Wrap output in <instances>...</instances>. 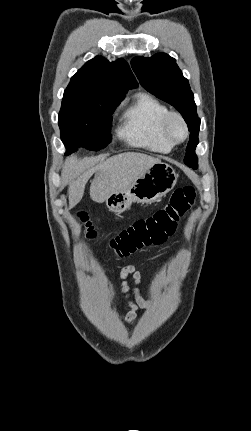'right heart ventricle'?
I'll return each instance as SVG.
<instances>
[{
  "mask_svg": "<svg viewBox=\"0 0 251 431\" xmlns=\"http://www.w3.org/2000/svg\"><path fill=\"white\" fill-rule=\"evenodd\" d=\"M168 111L156 97L139 93L123 110L118 134L133 146L169 153L174 145L162 132V121Z\"/></svg>",
  "mask_w": 251,
  "mask_h": 431,
  "instance_id": "1",
  "label": "right heart ventricle"
}]
</instances>
